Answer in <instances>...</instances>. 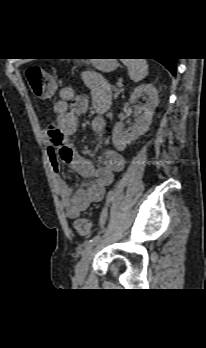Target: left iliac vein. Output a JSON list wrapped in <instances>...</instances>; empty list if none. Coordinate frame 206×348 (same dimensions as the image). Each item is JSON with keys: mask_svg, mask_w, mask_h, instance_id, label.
<instances>
[{"mask_svg": "<svg viewBox=\"0 0 206 348\" xmlns=\"http://www.w3.org/2000/svg\"><path fill=\"white\" fill-rule=\"evenodd\" d=\"M94 254V245L87 248L82 258L78 262L75 270V275L78 281H83L87 275L89 263Z\"/></svg>", "mask_w": 206, "mask_h": 348, "instance_id": "left-iliac-vein-1", "label": "left iliac vein"}]
</instances>
